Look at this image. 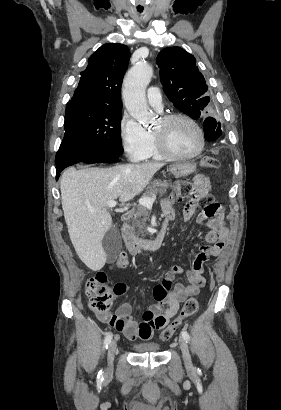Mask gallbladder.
Instances as JSON below:
<instances>
[{"label": "gallbladder", "instance_id": "bac80fb5", "mask_svg": "<svg viewBox=\"0 0 281 410\" xmlns=\"http://www.w3.org/2000/svg\"><path fill=\"white\" fill-rule=\"evenodd\" d=\"M102 246L106 253L107 262L113 263L122 248V242L117 228L111 227L106 232L102 240Z\"/></svg>", "mask_w": 281, "mask_h": 410}]
</instances>
